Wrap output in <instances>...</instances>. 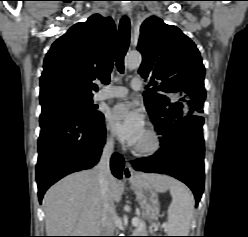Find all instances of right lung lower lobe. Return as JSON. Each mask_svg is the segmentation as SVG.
<instances>
[{
	"label": "right lung lower lobe",
	"instance_id": "obj_1",
	"mask_svg": "<svg viewBox=\"0 0 248 237\" xmlns=\"http://www.w3.org/2000/svg\"><path fill=\"white\" fill-rule=\"evenodd\" d=\"M36 180L39 202L46 190L64 176L95 166L105 144L104 115L83 118L70 113H41ZM124 160L114 153L111 170L121 179Z\"/></svg>",
	"mask_w": 248,
	"mask_h": 237
}]
</instances>
